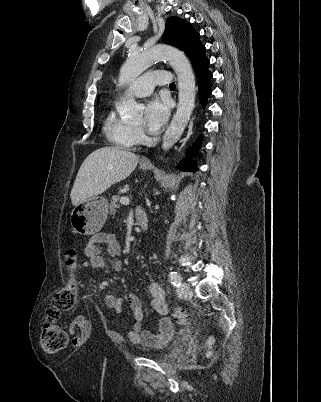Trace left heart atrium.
Segmentation results:
<instances>
[{"label": "left heart atrium", "instance_id": "left-heart-atrium-1", "mask_svg": "<svg viewBox=\"0 0 321 402\" xmlns=\"http://www.w3.org/2000/svg\"><path fill=\"white\" fill-rule=\"evenodd\" d=\"M169 104L166 100L154 98L145 108V125L150 133H158L169 117Z\"/></svg>", "mask_w": 321, "mask_h": 402}]
</instances>
